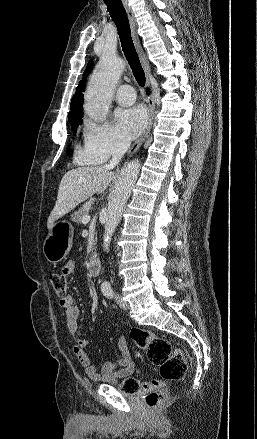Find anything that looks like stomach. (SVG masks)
<instances>
[{
  "label": "stomach",
  "instance_id": "stomach-1",
  "mask_svg": "<svg viewBox=\"0 0 257 439\" xmlns=\"http://www.w3.org/2000/svg\"><path fill=\"white\" fill-rule=\"evenodd\" d=\"M73 226L65 220L55 221L43 244V253L51 263L60 262L69 253L73 241Z\"/></svg>",
  "mask_w": 257,
  "mask_h": 439
}]
</instances>
